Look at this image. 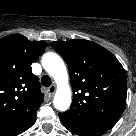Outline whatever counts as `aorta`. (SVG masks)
Wrapping results in <instances>:
<instances>
[{
	"label": "aorta",
	"instance_id": "aorta-1",
	"mask_svg": "<svg viewBox=\"0 0 136 136\" xmlns=\"http://www.w3.org/2000/svg\"><path fill=\"white\" fill-rule=\"evenodd\" d=\"M41 63L57 84V91L53 100L54 107L59 111H66L71 104V89L63 60L56 53L48 52L43 55Z\"/></svg>",
	"mask_w": 136,
	"mask_h": 136
}]
</instances>
